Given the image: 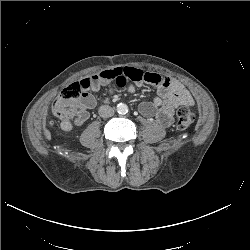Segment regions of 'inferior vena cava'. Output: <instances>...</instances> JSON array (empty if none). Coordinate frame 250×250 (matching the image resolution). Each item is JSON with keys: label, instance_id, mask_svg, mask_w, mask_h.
<instances>
[{"label": "inferior vena cava", "instance_id": "602c4592", "mask_svg": "<svg viewBox=\"0 0 250 250\" xmlns=\"http://www.w3.org/2000/svg\"><path fill=\"white\" fill-rule=\"evenodd\" d=\"M99 115L102 118H108L114 115V109L108 105H102L99 108Z\"/></svg>", "mask_w": 250, "mask_h": 250}]
</instances>
